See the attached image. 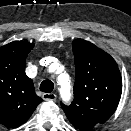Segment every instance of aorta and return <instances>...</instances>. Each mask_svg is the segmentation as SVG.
Here are the masks:
<instances>
[{
  "label": "aorta",
  "mask_w": 131,
  "mask_h": 131,
  "mask_svg": "<svg viewBox=\"0 0 131 131\" xmlns=\"http://www.w3.org/2000/svg\"><path fill=\"white\" fill-rule=\"evenodd\" d=\"M60 94L64 101H68L71 98V85L66 75L59 76Z\"/></svg>",
  "instance_id": "1"
}]
</instances>
